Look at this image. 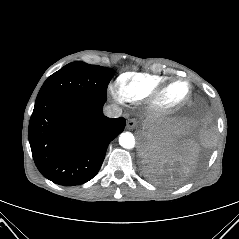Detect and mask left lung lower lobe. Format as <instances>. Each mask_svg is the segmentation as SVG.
I'll list each match as a JSON object with an SVG mask.
<instances>
[{
	"label": "left lung lower lobe",
	"mask_w": 239,
	"mask_h": 239,
	"mask_svg": "<svg viewBox=\"0 0 239 239\" xmlns=\"http://www.w3.org/2000/svg\"><path fill=\"white\" fill-rule=\"evenodd\" d=\"M211 136L207 111L199 104L190 106L176 121L142 144L145 175L163 185L186 181L206 158L203 147Z\"/></svg>",
	"instance_id": "obj_1"
}]
</instances>
